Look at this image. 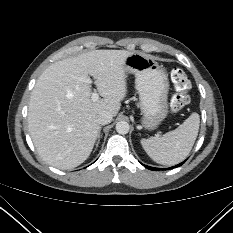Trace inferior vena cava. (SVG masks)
<instances>
[{"instance_id": "obj_1", "label": "inferior vena cava", "mask_w": 233, "mask_h": 233, "mask_svg": "<svg viewBox=\"0 0 233 233\" xmlns=\"http://www.w3.org/2000/svg\"><path fill=\"white\" fill-rule=\"evenodd\" d=\"M112 114L108 111H103L100 113L98 117L99 124L106 125L109 124L112 121Z\"/></svg>"}]
</instances>
